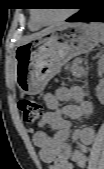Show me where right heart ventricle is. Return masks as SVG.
Masks as SVG:
<instances>
[{
	"instance_id": "right-heart-ventricle-1",
	"label": "right heart ventricle",
	"mask_w": 104,
	"mask_h": 169,
	"mask_svg": "<svg viewBox=\"0 0 104 169\" xmlns=\"http://www.w3.org/2000/svg\"><path fill=\"white\" fill-rule=\"evenodd\" d=\"M29 26L31 29L35 30L40 28L41 25L34 19V17H32Z\"/></svg>"
}]
</instances>
